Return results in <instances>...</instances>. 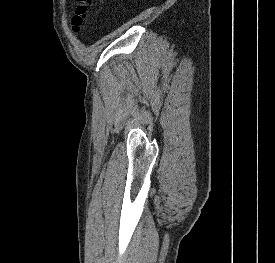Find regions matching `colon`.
<instances>
[{
    "label": "colon",
    "mask_w": 275,
    "mask_h": 263,
    "mask_svg": "<svg viewBox=\"0 0 275 263\" xmlns=\"http://www.w3.org/2000/svg\"><path fill=\"white\" fill-rule=\"evenodd\" d=\"M90 0H78L74 15L71 20L74 32H80L89 20Z\"/></svg>",
    "instance_id": "1"
}]
</instances>
